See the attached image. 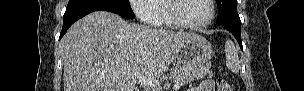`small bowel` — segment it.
<instances>
[{
    "label": "small bowel",
    "instance_id": "c3829d8e",
    "mask_svg": "<svg viewBox=\"0 0 304 91\" xmlns=\"http://www.w3.org/2000/svg\"><path fill=\"white\" fill-rule=\"evenodd\" d=\"M212 90H213V82L211 80L202 81L199 84L189 89V91H212Z\"/></svg>",
    "mask_w": 304,
    "mask_h": 91
}]
</instances>
